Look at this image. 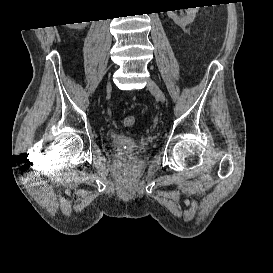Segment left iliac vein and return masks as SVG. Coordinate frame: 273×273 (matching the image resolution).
<instances>
[{
  "instance_id": "left-iliac-vein-1",
  "label": "left iliac vein",
  "mask_w": 273,
  "mask_h": 273,
  "mask_svg": "<svg viewBox=\"0 0 273 273\" xmlns=\"http://www.w3.org/2000/svg\"><path fill=\"white\" fill-rule=\"evenodd\" d=\"M147 88L156 96L157 99H159L162 103L166 101V97L164 92L161 90V88L158 86V84L152 80L148 79L147 81Z\"/></svg>"
}]
</instances>
